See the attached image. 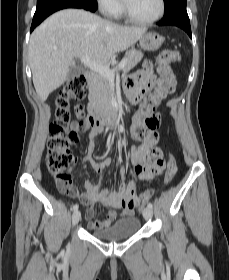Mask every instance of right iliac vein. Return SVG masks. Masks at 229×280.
<instances>
[{
	"label": "right iliac vein",
	"mask_w": 229,
	"mask_h": 280,
	"mask_svg": "<svg viewBox=\"0 0 229 280\" xmlns=\"http://www.w3.org/2000/svg\"><path fill=\"white\" fill-rule=\"evenodd\" d=\"M81 219V212L76 210L72 216L73 225L77 224Z\"/></svg>",
	"instance_id": "obj_1"
}]
</instances>
